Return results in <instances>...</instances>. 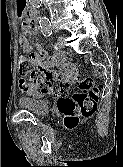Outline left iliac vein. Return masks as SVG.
<instances>
[{"label":"left iliac vein","mask_w":123,"mask_h":167,"mask_svg":"<svg viewBox=\"0 0 123 167\" xmlns=\"http://www.w3.org/2000/svg\"><path fill=\"white\" fill-rule=\"evenodd\" d=\"M57 43H58V48H63L65 46V38L63 36H59Z\"/></svg>","instance_id":"obj_1"}]
</instances>
